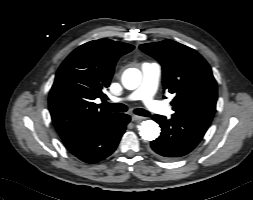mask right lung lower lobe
I'll return each mask as SVG.
<instances>
[{
    "mask_svg": "<svg viewBox=\"0 0 253 200\" xmlns=\"http://www.w3.org/2000/svg\"><path fill=\"white\" fill-rule=\"evenodd\" d=\"M130 117L117 113L98 128L64 141L66 148L86 163L99 162L116 149Z\"/></svg>",
    "mask_w": 253,
    "mask_h": 200,
    "instance_id": "obj_1",
    "label": "right lung lower lobe"
}]
</instances>
